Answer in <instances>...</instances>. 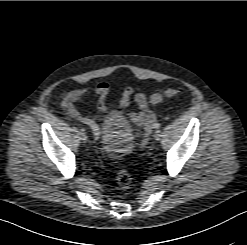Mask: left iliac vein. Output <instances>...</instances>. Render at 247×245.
Instances as JSON below:
<instances>
[{"instance_id":"left-iliac-vein-1","label":"left iliac vein","mask_w":247,"mask_h":245,"mask_svg":"<svg viewBox=\"0 0 247 245\" xmlns=\"http://www.w3.org/2000/svg\"><path fill=\"white\" fill-rule=\"evenodd\" d=\"M154 138H155V140H160V138H161V131L160 130H157L155 132Z\"/></svg>"}]
</instances>
